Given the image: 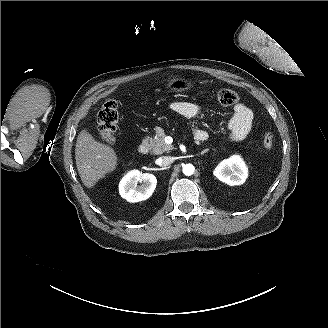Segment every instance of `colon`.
Returning a JSON list of instances; mask_svg holds the SVG:
<instances>
[{"mask_svg": "<svg viewBox=\"0 0 328 328\" xmlns=\"http://www.w3.org/2000/svg\"><path fill=\"white\" fill-rule=\"evenodd\" d=\"M215 94L217 101L222 106H230L239 99L235 91L227 88H220L216 90ZM118 120L119 111L117 102L115 100L106 101L101 106L97 116L98 130L103 142L107 144L114 143ZM262 144L266 150H270L273 147V135L271 132L264 134Z\"/></svg>", "mask_w": 328, "mask_h": 328, "instance_id": "obj_1", "label": "colon"}]
</instances>
